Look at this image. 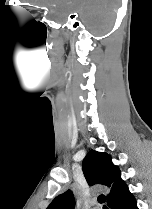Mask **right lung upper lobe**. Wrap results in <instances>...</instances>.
Masks as SVG:
<instances>
[{"label": "right lung upper lobe", "mask_w": 152, "mask_h": 209, "mask_svg": "<svg viewBox=\"0 0 152 209\" xmlns=\"http://www.w3.org/2000/svg\"><path fill=\"white\" fill-rule=\"evenodd\" d=\"M84 176L89 185L100 184L110 189L107 203L111 201L126 187L121 179L119 168L111 161V156L105 152H88L82 164ZM75 200L71 190L57 196L47 209H74Z\"/></svg>", "instance_id": "1"}]
</instances>
